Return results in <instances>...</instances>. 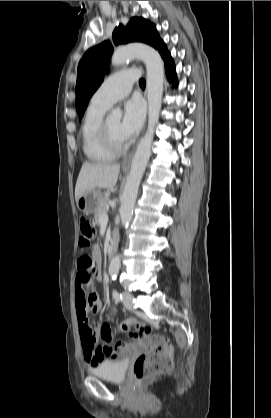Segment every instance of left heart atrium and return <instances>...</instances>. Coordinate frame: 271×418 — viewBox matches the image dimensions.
Masks as SVG:
<instances>
[{
	"mask_svg": "<svg viewBox=\"0 0 271 418\" xmlns=\"http://www.w3.org/2000/svg\"><path fill=\"white\" fill-rule=\"evenodd\" d=\"M145 115L143 102L138 98L130 99L124 106V115L120 125L123 139L135 136L142 127Z\"/></svg>",
	"mask_w": 271,
	"mask_h": 418,
	"instance_id": "obj_1",
	"label": "left heart atrium"
}]
</instances>
